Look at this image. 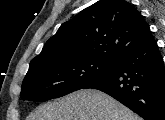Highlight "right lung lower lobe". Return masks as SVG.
<instances>
[{"mask_svg":"<svg viewBox=\"0 0 165 120\" xmlns=\"http://www.w3.org/2000/svg\"><path fill=\"white\" fill-rule=\"evenodd\" d=\"M83 88L107 93L145 120H165V67L154 38L131 49L110 73Z\"/></svg>","mask_w":165,"mask_h":120,"instance_id":"obj_1","label":"right lung lower lobe"}]
</instances>
